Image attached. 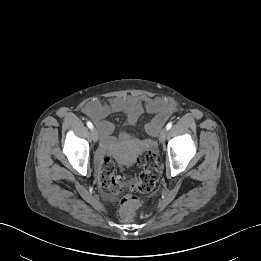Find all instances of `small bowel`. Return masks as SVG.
Segmentation results:
<instances>
[{"label": "small bowel", "instance_id": "c3829d8e", "mask_svg": "<svg viewBox=\"0 0 261 261\" xmlns=\"http://www.w3.org/2000/svg\"><path fill=\"white\" fill-rule=\"evenodd\" d=\"M144 110L154 115L153 119L146 124V131L149 135L155 136L175 111V105L161 98L129 95L114 97L105 102L93 99L84 106V113L94 121L106 146L110 145V136L115 129L113 122L107 119L110 114L123 113L126 122L133 125Z\"/></svg>", "mask_w": 261, "mask_h": 261}]
</instances>
